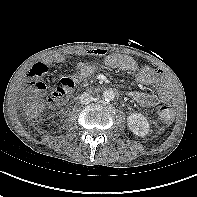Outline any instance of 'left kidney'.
Returning <instances> with one entry per match:
<instances>
[{"label": "left kidney", "instance_id": "obj_1", "mask_svg": "<svg viewBox=\"0 0 197 197\" xmlns=\"http://www.w3.org/2000/svg\"><path fill=\"white\" fill-rule=\"evenodd\" d=\"M129 129L137 136L144 137L149 132V123L141 113H132L127 118Z\"/></svg>", "mask_w": 197, "mask_h": 197}]
</instances>
